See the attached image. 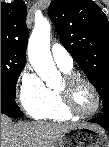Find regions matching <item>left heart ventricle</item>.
<instances>
[{
	"label": "left heart ventricle",
	"mask_w": 109,
	"mask_h": 147,
	"mask_svg": "<svg viewBox=\"0 0 109 147\" xmlns=\"http://www.w3.org/2000/svg\"><path fill=\"white\" fill-rule=\"evenodd\" d=\"M64 87V83L61 88ZM74 101L78 110L82 113H89L93 110L96 100L92 90L85 84H79L74 90Z\"/></svg>",
	"instance_id": "left-heart-ventricle-1"
}]
</instances>
